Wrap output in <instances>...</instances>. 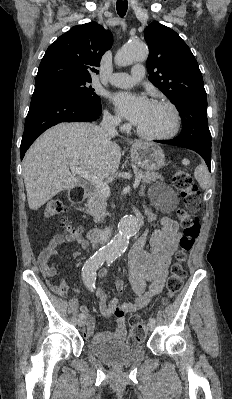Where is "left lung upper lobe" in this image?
<instances>
[{"label":"left lung upper lobe","mask_w":232,"mask_h":399,"mask_svg":"<svg viewBox=\"0 0 232 399\" xmlns=\"http://www.w3.org/2000/svg\"><path fill=\"white\" fill-rule=\"evenodd\" d=\"M149 81L177 107L183 128L175 139L211 149L207 96L198 63L172 29L154 21L144 30Z\"/></svg>","instance_id":"1"}]
</instances>
